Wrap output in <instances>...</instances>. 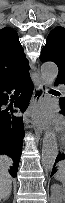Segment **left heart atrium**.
<instances>
[{"instance_id":"39dd6f15","label":"left heart atrium","mask_w":65,"mask_h":203,"mask_svg":"<svg viewBox=\"0 0 65 203\" xmlns=\"http://www.w3.org/2000/svg\"><path fill=\"white\" fill-rule=\"evenodd\" d=\"M36 116L38 119H40L41 122L44 123L49 120L48 113L45 109H39Z\"/></svg>"}]
</instances>
